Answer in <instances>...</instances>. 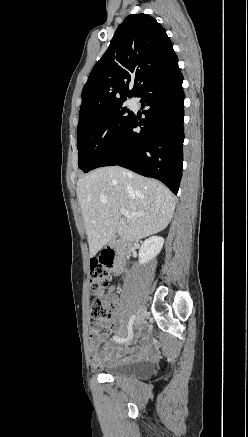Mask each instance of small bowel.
Instances as JSON below:
<instances>
[{
  "mask_svg": "<svg viewBox=\"0 0 248 437\" xmlns=\"http://www.w3.org/2000/svg\"><path fill=\"white\" fill-rule=\"evenodd\" d=\"M100 293L105 294V301L113 314L118 305V296L113 293V287H109L106 292L101 291ZM114 326V324L103 322L100 324H93L89 329L91 351L90 360L91 367L94 370H99L106 365L122 364L136 359L149 358L151 356L152 351L148 338L142 330L138 333L141 338L140 344H135L136 337H134L133 334L131 335L130 340L124 344L119 342L117 344H110L108 336H101V328H113ZM101 344H105V349L103 351H100Z\"/></svg>",
  "mask_w": 248,
  "mask_h": 437,
  "instance_id": "c3829d8e",
  "label": "small bowel"
}]
</instances>
